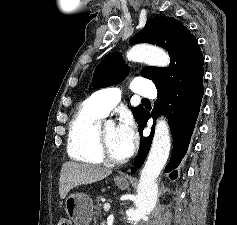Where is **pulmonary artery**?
I'll list each match as a JSON object with an SVG mask.
<instances>
[{"instance_id": "pulmonary-artery-1", "label": "pulmonary artery", "mask_w": 237, "mask_h": 225, "mask_svg": "<svg viewBox=\"0 0 237 225\" xmlns=\"http://www.w3.org/2000/svg\"><path fill=\"white\" fill-rule=\"evenodd\" d=\"M131 88L135 93L141 96L154 98L156 95L154 84L144 78L133 80ZM120 99L121 89L117 86L98 90L91 95L92 102L104 115L108 114L110 110L118 104Z\"/></svg>"}]
</instances>
